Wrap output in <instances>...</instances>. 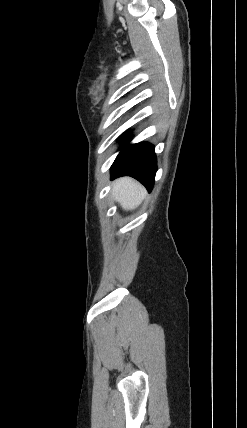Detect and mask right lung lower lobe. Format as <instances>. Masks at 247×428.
Instances as JSON below:
<instances>
[{
  "mask_svg": "<svg viewBox=\"0 0 247 428\" xmlns=\"http://www.w3.org/2000/svg\"><path fill=\"white\" fill-rule=\"evenodd\" d=\"M121 149L111 166V179L129 175L140 181L150 192L157 171L154 146L149 143L129 145L126 141Z\"/></svg>",
  "mask_w": 247,
  "mask_h": 428,
  "instance_id": "98d812e1",
  "label": "right lung lower lobe"
}]
</instances>
